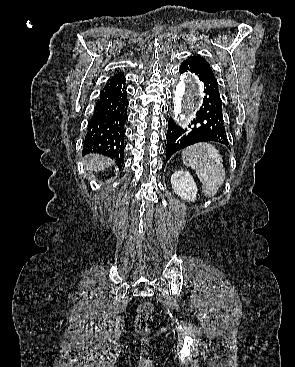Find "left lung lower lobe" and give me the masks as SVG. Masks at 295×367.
<instances>
[{
  "instance_id": "obj_1",
  "label": "left lung lower lobe",
  "mask_w": 295,
  "mask_h": 367,
  "mask_svg": "<svg viewBox=\"0 0 295 367\" xmlns=\"http://www.w3.org/2000/svg\"><path fill=\"white\" fill-rule=\"evenodd\" d=\"M194 72L204 84L203 104L191 121L189 129L178 127L171 118L168 122L166 157L199 142L214 141L228 145L223 120L222 101L219 88L211 67L196 59L188 58L180 66V73Z\"/></svg>"
}]
</instances>
